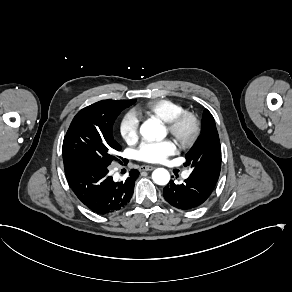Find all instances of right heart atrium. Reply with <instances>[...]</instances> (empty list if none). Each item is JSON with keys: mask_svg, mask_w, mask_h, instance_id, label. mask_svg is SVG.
<instances>
[{"mask_svg": "<svg viewBox=\"0 0 292 292\" xmlns=\"http://www.w3.org/2000/svg\"><path fill=\"white\" fill-rule=\"evenodd\" d=\"M118 131L121 138L129 145H134L140 135V120L134 109L125 111L119 120Z\"/></svg>", "mask_w": 292, "mask_h": 292, "instance_id": "obj_1", "label": "right heart atrium"}]
</instances>
